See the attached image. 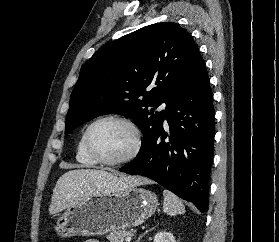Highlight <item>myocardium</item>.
Returning <instances> with one entry per match:
<instances>
[{
	"label": "myocardium",
	"instance_id": "f54148a6",
	"mask_svg": "<svg viewBox=\"0 0 279 242\" xmlns=\"http://www.w3.org/2000/svg\"><path fill=\"white\" fill-rule=\"evenodd\" d=\"M105 121H115V122L122 123V124L126 125L132 131V134H133L132 149L129 151V153L127 155H125L122 158H119L116 160H107V159H104V158L100 157L99 155H97L92 148V144H91L92 130L94 129V127L96 125H98L101 122H105ZM84 145H85V150H86L87 154L96 163L106 165V166H120V165L127 164V163L133 161L139 155V153L141 152L142 146H143V134H142V131H141L140 127L138 126V124L129 117L121 116V115H112V114L104 115V116H101V117L95 119L87 127V129L85 131V135H84Z\"/></svg>",
	"mask_w": 279,
	"mask_h": 242
}]
</instances>
